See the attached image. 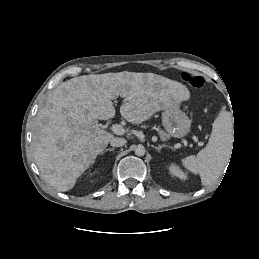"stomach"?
<instances>
[{
    "mask_svg": "<svg viewBox=\"0 0 259 259\" xmlns=\"http://www.w3.org/2000/svg\"><path fill=\"white\" fill-rule=\"evenodd\" d=\"M185 93L187 89L183 90ZM162 124L169 136L175 138L185 137L191 127L189 117L176 105L164 109L162 113Z\"/></svg>",
    "mask_w": 259,
    "mask_h": 259,
    "instance_id": "0dacf381",
    "label": "stomach"
}]
</instances>
